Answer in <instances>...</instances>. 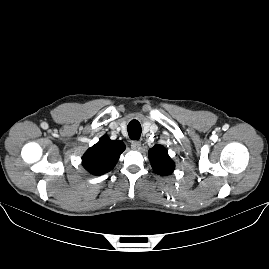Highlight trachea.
I'll return each instance as SVG.
<instances>
[{"mask_svg":"<svg viewBox=\"0 0 269 269\" xmlns=\"http://www.w3.org/2000/svg\"><path fill=\"white\" fill-rule=\"evenodd\" d=\"M127 130H128V135L130 139L139 140L142 129H141L140 123L137 120H132L128 124Z\"/></svg>","mask_w":269,"mask_h":269,"instance_id":"1","label":"trachea"}]
</instances>
